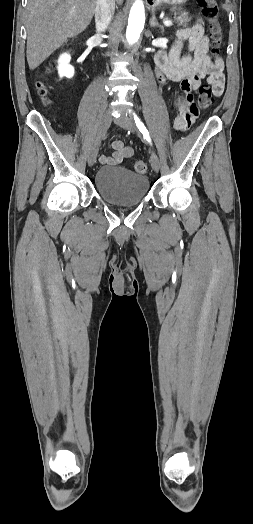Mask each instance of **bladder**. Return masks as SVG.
Listing matches in <instances>:
<instances>
[{
  "instance_id": "obj_1",
  "label": "bladder",
  "mask_w": 253,
  "mask_h": 524,
  "mask_svg": "<svg viewBox=\"0 0 253 524\" xmlns=\"http://www.w3.org/2000/svg\"><path fill=\"white\" fill-rule=\"evenodd\" d=\"M95 188L100 197L115 206L141 203L149 192V180L121 166H103L95 175Z\"/></svg>"
}]
</instances>
